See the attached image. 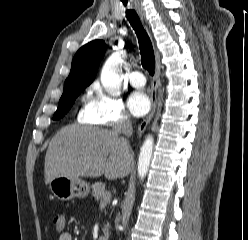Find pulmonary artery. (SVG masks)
<instances>
[{"mask_svg": "<svg viewBox=\"0 0 248 240\" xmlns=\"http://www.w3.org/2000/svg\"><path fill=\"white\" fill-rule=\"evenodd\" d=\"M129 81L134 87H142L145 84V77L140 71H133L129 75Z\"/></svg>", "mask_w": 248, "mask_h": 240, "instance_id": "obj_1", "label": "pulmonary artery"}]
</instances>
